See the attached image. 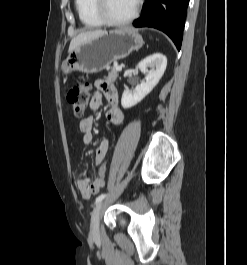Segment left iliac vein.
Listing matches in <instances>:
<instances>
[{
	"instance_id": "4c4485c4",
	"label": "left iliac vein",
	"mask_w": 247,
	"mask_h": 265,
	"mask_svg": "<svg viewBox=\"0 0 247 265\" xmlns=\"http://www.w3.org/2000/svg\"><path fill=\"white\" fill-rule=\"evenodd\" d=\"M105 202H100L95 210L92 213L91 216V225H90V235L91 237H98L99 236V222H100V215L102 208L104 206Z\"/></svg>"
}]
</instances>
